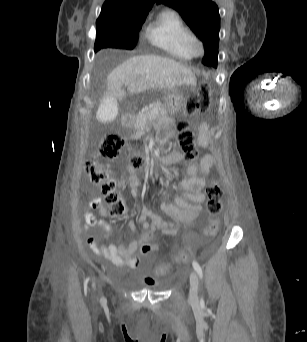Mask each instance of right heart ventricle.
I'll return each instance as SVG.
<instances>
[{"instance_id":"right-heart-ventricle-1","label":"right heart ventricle","mask_w":307,"mask_h":342,"mask_svg":"<svg viewBox=\"0 0 307 342\" xmlns=\"http://www.w3.org/2000/svg\"><path fill=\"white\" fill-rule=\"evenodd\" d=\"M192 31L189 20L178 10L165 13L162 29L157 33L144 34L140 40L157 48L169 57L189 61L192 56L186 47V38Z\"/></svg>"}]
</instances>
